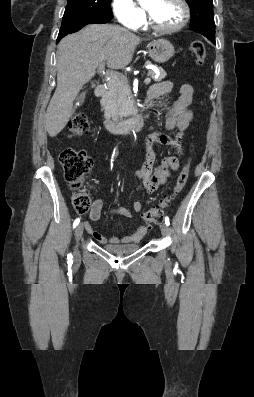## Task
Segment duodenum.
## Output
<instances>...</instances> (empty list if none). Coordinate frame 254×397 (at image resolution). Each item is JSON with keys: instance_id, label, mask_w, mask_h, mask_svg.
<instances>
[{"instance_id": "1", "label": "duodenum", "mask_w": 254, "mask_h": 397, "mask_svg": "<svg viewBox=\"0 0 254 397\" xmlns=\"http://www.w3.org/2000/svg\"><path fill=\"white\" fill-rule=\"evenodd\" d=\"M107 94V88L105 85H99L95 90V95L103 99ZM104 127L115 134H123L130 130H140L145 125V113L138 111L131 115L129 119L118 120L113 119L109 116L103 118Z\"/></svg>"}]
</instances>
